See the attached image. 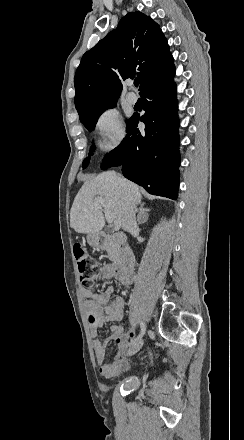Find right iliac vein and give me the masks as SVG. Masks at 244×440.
I'll use <instances>...</instances> for the list:
<instances>
[{"instance_id": "63e3f726", "label": "right iliac vein", "mask_w": 244, "mask_h": 440, "mask_svg": "<svg viewBox=\"0 0 244 440\" xmlns=\"http://www.w3.org/2000/svg\"><path fill=\"white\" fill-rule=\"evenodd\" d=\"M142 346H143V340L137 341L126 351V355L127 356L134 355L135 353H137L141 349Z\"/></svg>"}]
</instances>
